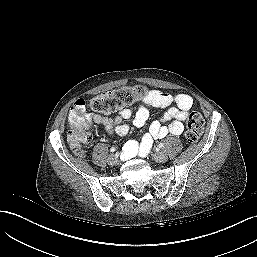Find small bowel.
<instances>
[{
  "mask_svg": "<svg viewBox=\"0 0 257 257\" xmlns=\"http://www.w3.org/2000/svg\"><path fill=\"white\" fill-rule=\"evenodd\" d=\"M192 105L193 100L189 95H171L152 89L147 91L134 116L131 109H123L115 117H107L100 114H87L86 117L88 121L104 126L106 132L124 136L129 131V126L124 123L125 120L133 116V124L139 128L146 124L150 107L167 108L159 120H155L150 124L149 130L144 135L141 143L132 140L125 144L123 158H128L137 152L140 155L146 153L152 146L154 139H161L168 135H180L183 132V123Z\"/></svg>",
  "mask_w": 257,
  "mask_h": 257,
  "instance_id": "1",
  "label": "small bowel"
}]
</instances>
